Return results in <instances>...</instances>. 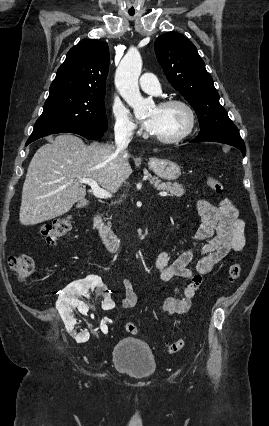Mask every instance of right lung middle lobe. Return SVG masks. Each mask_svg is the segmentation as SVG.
<instances>
[{"mask_svg":"<svg viewBox=\"0 0 269 426\" xmlns=\"http://www.w3.org/2000/svg\"><path fill=\"white\" fill-rule=\"evenodd\" d=\"M105 94L59 91L50 93L28 140L81 128L107 129Z\"/></svg>","mask_w":269,"mask_h":426,"instance_id":"right-lung-middle-lobe-1","label":"right lung middle lobe"}]
</instances>
